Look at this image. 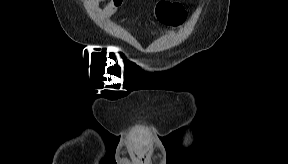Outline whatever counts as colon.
<instances>
[{
  "label": "colon",
  "mask_w": 288,
  "mask_h": 164,
  "mask_svg": "<svg viewBox=\"0 0 288 164\" xmlns=\"http://www.w3.org/2000/svg\"><path fill=\"white\" fill-rule=\"evenodd\" d=\"M156 13L159 21L168 26L179 27L185 22L184 10L178 4L161 3Z\"/></svg>",
  "instance_id": "obj_1"
}]
</instances>
